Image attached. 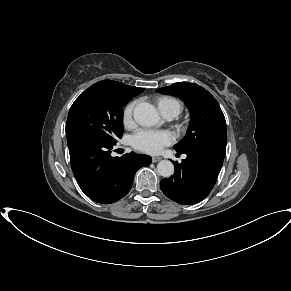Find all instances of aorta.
Here are the masks:
<instances>
[{
    "mask_svg": "<svg viewBox=\"0 0 291 291\" xmlns=\"http://www.w3.org/2000/svg\"><path fill=\"white\" fill-rule=\"evenodd\" d=\"M135 121L141 126H154L159 120V114L155 107L147 102L138 103L133 111ZM157 172L162 177H170L174 173V165L169 160H161L157 164Z\"/></svg>",
    "mask_w": 291,
    "mask_h": 291,
    "instance_id": "obj_1",
    "label": "aorta"
}]
</instances>
